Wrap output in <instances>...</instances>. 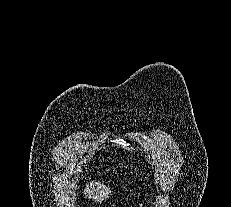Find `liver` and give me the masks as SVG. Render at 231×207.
<instances>
[{
  "label": "liver",
  "mask_w": 231,
  "mask_h": 207,
  "mask_svg": "<svg viewBox=\"0 0 231 207\" xmlns=\"http://www.w3.org/2000/svg\"><path fill=\"white\" fill-rule=\"evenodd\" d=\"M85 192L89 194V198L98 202L108 198L111 194V190L105 186L103 182H96L94 184L93 181L90 183V188H88Z\"/></svg>",
  "instance_id": "6515ba94"
}]
</instances>
